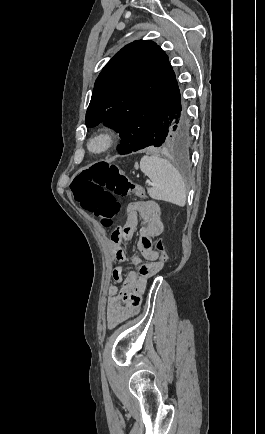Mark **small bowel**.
<instances>
[{
    "instance_id": "obj_1",
    "label": "small bowel",
    "mask_w": 265,
    "mask_h": 434,
    "mask_svg": "<svg viewBox=\"0 0 265 434\" xmlns=\"http://www.w3.org/2000/svg\"><path fill=\"white\" fill-rule=\"evenodd\" d=\"M160 205L153 200L130 203L126 209V221L122 226L127 235L115 239L112 234L115 259L119 262L113 271L114 284L107 288V312L105 316L108 329H113L129 318L135 316L140 309L141 294L144 290L143 280L153 277L157 273L155 267L140 266L137 274L128 271L126 264L133 260L124 250V243L132 236L136 228L140 227L138 247L147 261H156L157 251L153 246V238L162 234L164 225L161 220ZM138 275V276H137ZM140 275V276H139ZM143 279V280H142Z\"/></svg>"
}]
</instances>
